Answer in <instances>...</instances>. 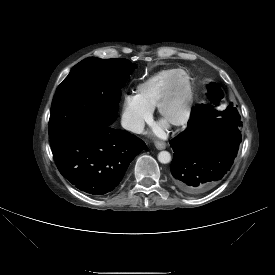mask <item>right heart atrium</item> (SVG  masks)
Here are the masks:
<instances>
[{
	"label": "right heart atrium",
	"instance_id": "1",
	"mask_svg": "<svg viewBox=\"0 0 275 275\" xmlns=\"http://www.w3.org/2000/svg\"><path fill=\"white\" fill-rule=\"evenodd\" d=\"M152 118V110L144 106L135 95H126L121 107V119L126 129L141 133Z\"/></svg>",
	"mask_w": 275,
	"mask_h": 275
}]
</instances>
